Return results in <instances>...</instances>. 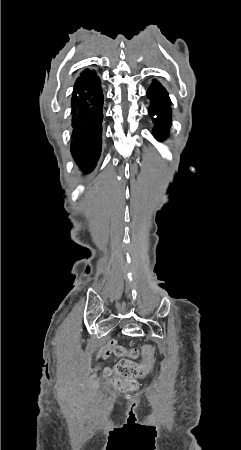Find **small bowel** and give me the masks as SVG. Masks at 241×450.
I'll list each match as a JSON object with an SVG mask.
<instances>
[{"label": "small bowel", "mask_w": 241, "mask_h": 450, "mask_svg": "<svg viewBox=\"0 0 241 450\" xmlns=\"http://www.w3.org/2000/svg\"><path fill=\"white\" fill-rule=\"evenodd\" d=\"M101 355H102L103 357H107V356L109 355V351H108V350H103V351L101 352Z\"/></svg>", "instance_id": "1"}]
</instances>
